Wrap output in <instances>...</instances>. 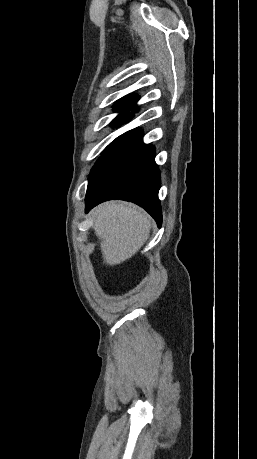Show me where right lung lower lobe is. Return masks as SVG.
Returning a JSON list of instances; mask_svg holds the SVG:
<instances>
[{"label":"right lung lower lobe","mask_w":257,"mask_h":459,"mask_svg":"<svg viewBox=\"0 0 257 459\" xmlns=\"http://www.w3.org/2000/svg\"><path fill=\"white\" fill-rule=\"evenodd\" d=\"M154 157V147L143 143L139 130L128 131L111 142L91 170L86 212L106 200H126L143 207L160 227L161 182Z\"/></svg>","instance_id":"right-lung-lower-lobe-1"}]
</instances>
